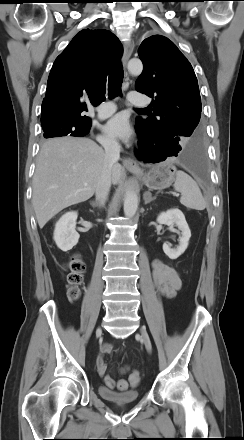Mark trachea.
Segmentation results:
<instances>
[{
    "instance_id": "trachea-1",
    "label": "trachea",
    "mask_w": 244,
    "mask_h": 440,
    "mask_svg": "<svg viewBox=\"0 0 244 440\" xmlns=\"http://www.w3.org/2000/svg\"><path fill=\"white\" fill-rule=\"evenodd\" d=\"M123 82V69L120 63L112 69L108 80V91L111 98L121 95V86ZM146 111V109H142Z\"/></svg>"
}]
</instances>
